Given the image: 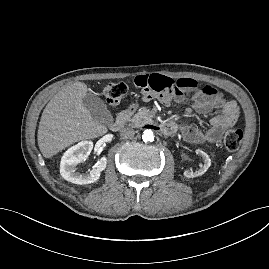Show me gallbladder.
Wrapping results in <instances>:
<instances>
[{"label": "gallbladder", "mask_w": 269, "mask_h": 269, "mask_svg": "<svg viewBox=\"0 0 269 269\" xmlns=\"http://www.w3.org/2000/svg\"><path fill=\"white\" fill-rule=\"evenodd\" d=\"M84 106L89 110L92 118L103 125L110 126L113 123V117L107 109L103 100L95 93H88L83 98Z\"/></svg>", "instance_id": "bac80fb5"}]
</instances>
